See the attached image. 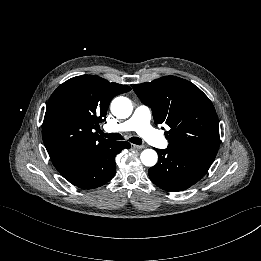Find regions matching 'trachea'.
<instances>
[{
  "label": "trachea",
  "instance_id": "trachea-1",
  "mask_svg": "<svg viewBox=\"0 0 261 261\" xmlns=\"http://www.w3.org/2000/svg\"><path fill=\"white\" fill-rule=\"evenodd\" d=\"M101 136H103L105 138L113 139V140H122L123 139V136L121 134H119V133H110V134L101 133ZM129 141L131 143H134V144H137V145H141L142 144L141 138H138V137H131L129 139Z\"/></svg>",
  "mask_w": 261,
  "mask_h": 261
}]
</instances>
